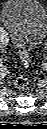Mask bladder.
I'll use <instances>...</instances> for the list:
<instances>
[{
  "label": "bladder",
  "instance_id": "1",
  "mask_svg": "<svg viewBox=\"0 0 47 129\" xmlns=\"http://www.w3.org/2000/svg\"><path fill=\"white\" fill-rule=\"evenodd\" d=\"M1 20L19 50L29 53L46 38L47 14L38 0H7Z\"/></svg>",
  "mask_w": 47,
  "mask_h": 129
}]
</instances>
